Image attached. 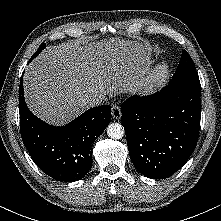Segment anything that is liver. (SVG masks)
Returning a JSON list of instances; mask_svg holds the SVG:
<instances>
[{"label": "liver", "mask_w": 221, "mask_h": 221, "mask_svg": "<svg viewBox=\"0 0 221 221\" xmlns=\"http://www.w3.org/2000/svg\"><path fill=\"white\" fill-rule=\"evenodd\" d=\"M149 65L143 43L120 37L48 46L25 70L26 103L40 119L63 125L90 107L88 98L135 89Z\"/></svg>", "instance_id": "6515ba94"}]
</instances>
